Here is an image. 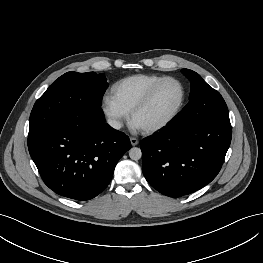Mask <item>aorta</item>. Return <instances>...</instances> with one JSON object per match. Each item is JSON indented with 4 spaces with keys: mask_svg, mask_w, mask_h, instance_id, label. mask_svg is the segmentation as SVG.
Listing matches in <instances>:
<instances>
[{
    "mask_svg": "<svg viewBox=\"0 0 263 263\" xmlns=\"http://www.w3.org/2000/svg\"><path fill=\"white\" fill-rule=\"evenodd\" d=\"M142 156V152L140 150V148L137 147H133L129 150V157L132 160H139Z\"/></svg>",
    "mask_w": 263,
    "mask_h": 263,
    "instance_id": "762f6f07",
    "label": "aorta"
}]
</instances>
